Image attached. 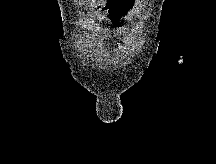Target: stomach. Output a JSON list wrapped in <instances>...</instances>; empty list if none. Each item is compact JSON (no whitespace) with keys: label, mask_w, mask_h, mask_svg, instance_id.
<instances>
[{"label":"stomach","mask_w":216,"mask_h":164,"mask_svg":"<svg viewBox=\"0 0 216 164\" xmlns=\"http://www.w3.org/2000/svg\"><path fill=\"white\" fill-rule=\"evenodd\" d=\"M143 0H107L108 7L94 9V14H106L104 20H126L130 17L132 8L141 4Z\"/></svg>","instance_id":"obj_1"}]
</instances>
